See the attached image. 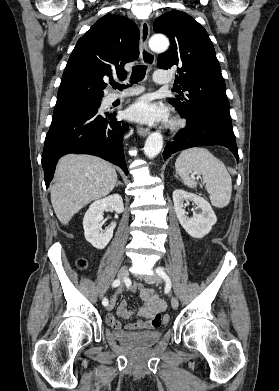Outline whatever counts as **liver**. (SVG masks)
Here are the masks:
<instances>
[{
  "label": "liver",
  "mask_w": 279,
  "mask_h": 391,
  "mask_svg": "<svg viewBox=\"0 0 279 391\" xmlns=\"http://www.w3.org/2000/svg\"><path fill=\"white\" fill-rule=\"evenodd\" d=\"M56 177L51 187V203L64 225L88 203L109 194L117 184L116 170L109 162L85 154L60 158Z\"/></svg>",
  "instance_id": "liver-1"
}]
</instances>
